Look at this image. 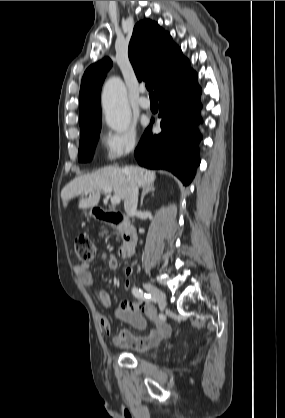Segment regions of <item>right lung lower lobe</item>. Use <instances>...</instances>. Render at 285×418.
Returning <instances> with one entry per match:
<instances>
[{"instance_id": "right-lung-lower-lobe-1", "label": "right lung lower lobe", "mask_w": 285, "mask_h": 418, "mask_svg": "<svg viewBox=\"0 0 285 418\" xmlns=\"http://www.w3.org/2000/svg\"><path fill=\"white\" fill-rule=\"evenodd\" d=\"M200 94L197 74L191 69L158 95L162 132L152 135L151 125L145 130L134 153L139 165L169 170L184 185L191 183L200 164Z\"/></svg>"}]
</instances>
